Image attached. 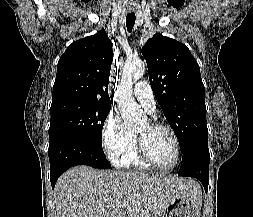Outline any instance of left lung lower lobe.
I'll list each match as a JSON object with an SVG mask.
<instances>
[{
  "label": "left lung lower lobe",
  "mask_w": 253,
  "mask_h": 217,
  "mask_svg": "<svg viewBox=\"0 0 253 217\" xmlns=\"http://www.w3.org/2000/svg\"><path fill=\"white\" fill-rule=\"evenodd\" d=\"M210 154L208 144L196 142L191 144L183 154L179 175L197 178L208 190Z\"/></svg>",
  "instance_id": "left-lung-lower-lobe-1"
}]
</instances>
